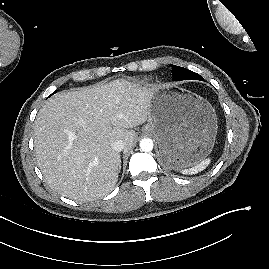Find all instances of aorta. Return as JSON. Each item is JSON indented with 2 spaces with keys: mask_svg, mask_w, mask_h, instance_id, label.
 I'll list each match as a JSON object with an SVG mask.
<instances>
[{
  "mask_svg": "<svg viewBox=\"0 0 269 269\" xmlns=\"http://www.w3.org/2000/svg\"><path fill=\"white\" fill-rule=\"evenodd\" d=\"M153 141L151 139L145 138L140 141V149L144 152H150L153 149Z\"/></svg>",
  "mask_w": 269,
  "mask_h": 269,
  "instance_id": "1",
  "label": "aorta"
}]
</instances>
